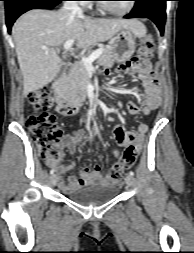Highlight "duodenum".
Returning <instances> with one entry per match:
<instances>
[{"label": "duodenum", "mask_w": 194, "mask_h": 253, "mask_svg": "<svg viewBox=\"0 0 194 253\" xmlns=\"http://www.w3.org/2000/svg\"><path fill=\"white\" fill-rule=\"evenodd\" d=\"M64 79L65 73L52 85L56 97V110L64 116H72L77 113L81 101L86 100L85 95L87 94V91L85 90V86H82V89L80 86H77V88L73 89V92L76 93L75 97L78 99L66 100L62 94Z\"/></svg>", "instance_id": "obj_1"}]
</instances>
